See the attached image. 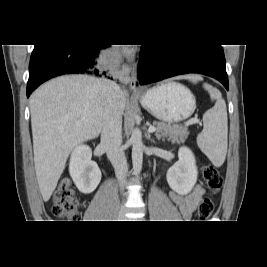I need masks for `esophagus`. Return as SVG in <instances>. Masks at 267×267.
I'll return each instance as SVG.
<instances>
[{
	"mask_svg": "<svg viewBox=\"0 0 267 267\" xmlns=\"http://www.w3.org/2000/svg\"><path fill=\"white\" fill-rule=\"evenodd\" d=\"M124 56L128 61H133L134 59V54L133 50L129 47H125L122 50ZM129 69H122V71L119 72L118 77L120 81L127 82L129 84V87L131 90H139L136 86V76L135 74H129Z\"/></svg>",
	"mask_w": 267,
	"mask_h": 267,
	"instance_id": "34e87169",
	"label": "esophagus"
}]
</instances>
